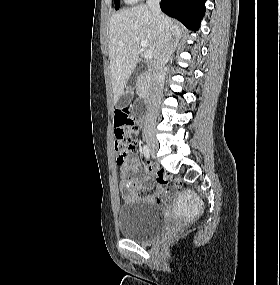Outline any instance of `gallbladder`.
<instances>
[{"mask_svg":"<svg viewBox=\"0 0 280 285\" xmlns=\"http://www.w3.org/2000/svg\"><path fill=\"white\" fill-rule=\"evenodd\" d=\"M132 97H133V93L131 91L125 90L121 94V96L117 102V105H116L117 108L122 109V108L126 107L130 103Z\"/></svg>","mask_w":280,"mask_h":285,"instance_id":"gallbladder-1","label":"gallbladder"}]
</instances>
